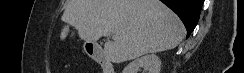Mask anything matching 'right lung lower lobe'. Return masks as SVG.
Returning a JSON list of instances; mask_svg holds the SVG:
<instances>
[{
	"mask_svg": "<svg viewBox=\"0 0 244 73\" xmlns=\"http://www.w3.org/2000/svg\"><path fill=\"white\" fill-rule=\"evenodd\" d=\"M172 9L182 20L186 29L187 37L194 30L199 20L203 0H160Z\"/></svg>",
	"mask_w": 244,
	"mask_h": 73,
	"instance_id": "right-lung-lower-lobe-1",
	"label": "right lung lower lobe"
}]
</instances>
